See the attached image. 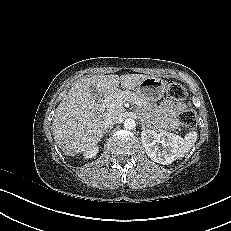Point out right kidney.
Masks as SVG:
<instances>
[{
    "mask_svg": "<svg viewBox=\"0 0 231 231\" xmlns=\"http://www.w3.org/2000/svg\"><path fill=\"white\" fill-rule=\"evenodd\" d=\"M98 152H99V147L98 146H94L90 150L84 152L83 156H84L85 159L93 158L94 156H96V154Z\"/></svg>",
    "mask_w": 231,
    "mask_h": 231,
    "instance_id": "right-kidney-1",
    "label": "right kidney"
}]
</instances>
